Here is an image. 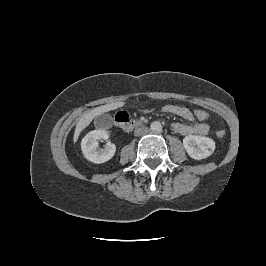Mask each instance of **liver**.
<instances>
[{
    "label": "liver",
    "mask_w": 266,
    "mask_h": 266,
    "mask_svg": "<svg viewBox=\"0 0 266 266\" xmlns=\"http://www.w3.org/2000/svg\"><path fill=\"white\" fill-rule=\"evenodd\" d=\"M125 105V102H114L106 105H102L99 107H96L90 111H87L78 121L74 136H73V141L74 143L78 140V137L80 133L91 123V121L97 117L100 116L101 114L105 112H109L111 110H115L118 108H121Z\"/></svg>",
    "instance_id": "6515ba94"
}]
</instances>
